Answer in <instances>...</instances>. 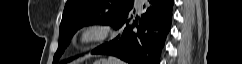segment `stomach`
Instances as JSON below:
<instances>
[{
  "label": "stomach",
  "mask_w": 242,
  "mask_h": 64,
  "mask_svg": "<svg viewBox=\"0 0 242 64\" xmlns=\"http://www.w3.org/2000/svg\"><path fill=\"white\" fill-rule=\"evenodd\" d=\"M94 64H109L106 60L96 61Z\"/></svg>",
  "instance_id": "1"
}]
</instances>
